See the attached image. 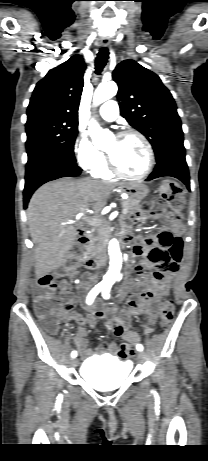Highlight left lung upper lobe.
Masks as SVG:
<instances>
[{"mask_svg":"<svg viewBox=\"0 0 208 461\" xmlns=\"http://www.w3.org/2000/svg\"><path fill=\"white\" fill-rule=\"evenodd\" d=\"M121 115L151 143L156 160L173 149H184L183 131L170 91L158 75L133 60L113 71Z\"/></svg>","mask_w":208,"mask_h":461,"instance_id":"obj_1","label":"left lung upper lobe"}]
</instances>
